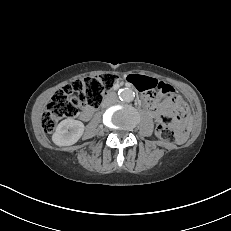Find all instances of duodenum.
Returning <instances> with one entry per match:
<instances>
[{"label":"duodenum","instance_id":"1","mask_svg":"<svg viewBox=\"0 0 231 231\" xmlns=\"http://www.w3.org/2000/svg\"><path fill=\"white\" fill-rule=\"evenodd\" d=\"M142 100L145 103L146 107L149 108L150 107L149 106V102H148V100L143 95H142ZM149 110H150V108H149ZM82 116H83V118L88 119L89 116H90V114L88 112H85V113H83Z\"/></svg>","mask_w":231,"mask_h":231}]
</instances>
